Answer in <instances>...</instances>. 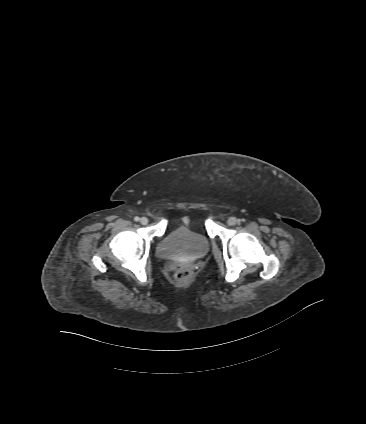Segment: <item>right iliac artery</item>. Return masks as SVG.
Here are the masks:
<instances>
[{
    "label": "right iliac artery",
    "mask_w": 366,
    "mask_h": 424,
    "mask_svg": "<svg viewBox=\"0 0 366 424\" xmlns=\"http://www.w3.org/2000/svg\"><path fill=\"white\" fill-rule=\"evenodd\" d=\"M134 220H135L136 222H138V221L140 220V218H139L138 216H136V217L134 218Z\"/></svg>",
    "instance_id": "1"
}]
</instances>
